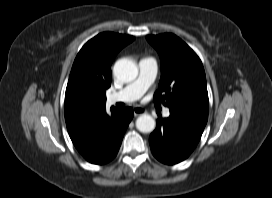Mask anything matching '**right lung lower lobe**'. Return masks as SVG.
<instances>
[{
  "mask_svg": "<svg viewBox=\"0 0 272 198\" xmlns=\"http://www.w3.org/2000/svg\"><path fill=\"white\" fill-rule=\"evenodd\" d=\"M134 115L133 109H104L98 115L69 131L79 153L90 163L104 164L111 161L120 148L123 135Z\"/></svg>",
  "mask_w": 272,
  "mask_h": 198,
  "instance_id": "1",
  "label": "right lung lower lobe"
}]
</instances>
